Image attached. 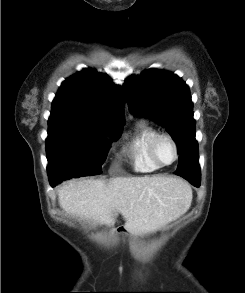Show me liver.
I'll use <instances>...</instances> for the list:
<instances>
[{
	"label": "liver",
	"instance_id": "6515ba94",
	"mask_svg": "<svg viewBox=\"0 0 245 293\" xmlns=\"http://www.w3.org/2000/svg\"><path fill=\"white\" fill-rule=\"evenodd\" d=\"M67 213L114 225L118 214L134 235L154 233L187 212L192 191L182 180L166 176L72 180L58 189Z\"/></svg>",
	"mask_w": 245,
	"mask_h": 293
}]
</instances>
